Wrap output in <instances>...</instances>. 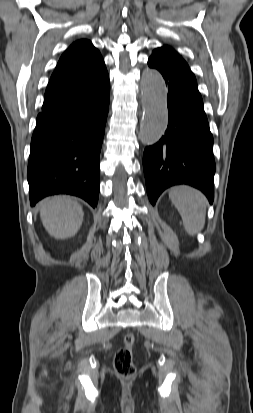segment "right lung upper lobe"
Listing matches in <instances>:
<instances>
[{"instance_id":"cb5924a9","label":"right lung upper lobe","mask_w":253,"mask_h":413,"mask_svg":"<svg viewBox=\"0 0 253 413\" xmlns=\"http://www.w3.org/2000/svg\"><path fill=\"white\" fill-rule=\"evenodd\" d=\"M107 77L103 58L92 43L88 40L74 42L63 53L51 76L42 112L94 93Z\"/></svg>"}]
</instances>
